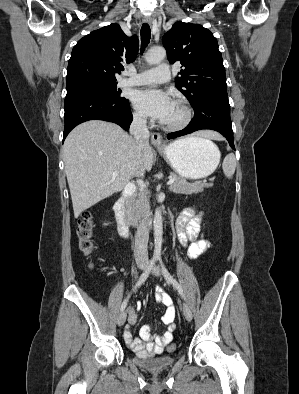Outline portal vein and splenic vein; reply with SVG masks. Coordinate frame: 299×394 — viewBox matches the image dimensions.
Returning <instances> with one entry per match:
<instances>
[{"mask_svg":"<svg viewBox=\"0 0 299 394\" xmlns=\"http://www.w3.org/2000/svg\"><path fill=\"white\" fill-rule=\"evenodd\" d=\"M118 171H114L113 172V177H116V176H118ZM174 181H175V179H170L168 182H167V185H172L173 183H174ZM138 184L140 185V187L141 188H146V184L145 183H143V181H138Z\"/></svg>","mask_w":299,"mask_h":394,"instance_id":"obj_1","label":"portal vein and splenic vein"}]
</instances>
